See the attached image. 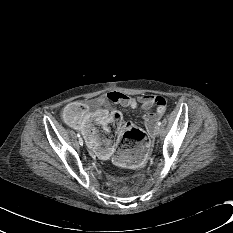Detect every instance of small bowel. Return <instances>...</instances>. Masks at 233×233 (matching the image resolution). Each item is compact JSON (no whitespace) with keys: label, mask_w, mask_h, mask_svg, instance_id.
<instances>
[{"label":"small bowel","mask_w":233,"mask_h":233,"mask_svg":"<svg viewBox=\"0 0 233 233\" xmlns=\"http://www.w3.org/2000/svg\"><path fill=\"white\" fill-rule=\"evenodd\" d=\"M80 103L85 108L84 115L80 123L71 126L82 133L92 153L102 159H109L113 155L117 147V137L114 140L102 139L99 130L95 127V123L100 125L104 133H108L113 127L119 133L122 124V116L118 111L109 112L104 107L111 103L128 108L140 106L145 110L156 107L155 113H149L144 116V124L148 131L152 132L156 122L165 113L167 105V101L163 96L142 94L138 97H132L118 91H111L94 100L82 101ZM104 115L108 116L106 121H102V116ZM149 155V146L145 143H138L131 150L123 149L118 151L115 158L120 165L133 166L147 160Z\"/></svg>","instance_id":"small-bowel-1"}]
</instances>
